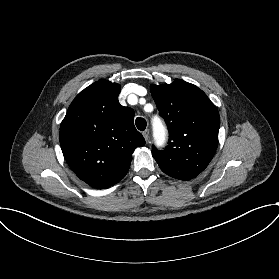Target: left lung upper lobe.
<instances>
[{"mask_svg": "<svg viewBox=\"0 0 279 279\" xmlns=\"http://www.w3.org/2000/svg\"><path fill=\"white\" fill-rule=\"evenodd\" d=\"M152 97L169 129V144L152 155L167 175L190 180L212 160L218 146L220 117L216 106L193 84L176 79L151 85Z\"/></svg>", "mask_w": 279, "mask_h": 279, "instance_id": "1", "label": "left lung upper lobe"}]
</instances>
